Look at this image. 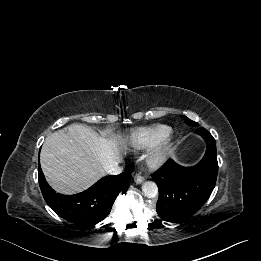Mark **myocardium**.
I'll list each match as a JSON object with an SVG mask.
<instances>
[{
	"mask_svg": "<svg viewBox=\"0 0 261 261\" xmlns=\"http://www.w3.org/2000/svg\"><path fill=\"white\" fill-rule=\"evenodd\" d=\"M173 141L168 135L163 140H161L154 149L150 152L148 156V165L151 168H159L164 165L172 152Z\"/></svg>",
	"mask_w": 261,
	"mask_h": 261,
	"instance_id": "f54148a6",
	"label": "myocardium"
}]
</instances>
